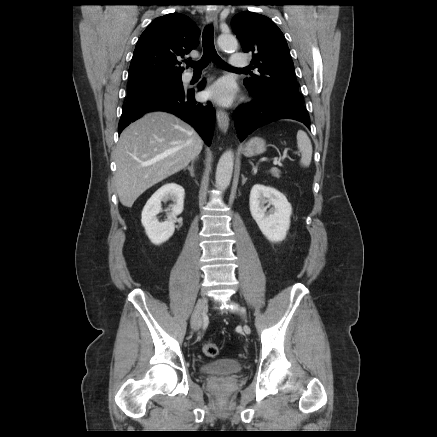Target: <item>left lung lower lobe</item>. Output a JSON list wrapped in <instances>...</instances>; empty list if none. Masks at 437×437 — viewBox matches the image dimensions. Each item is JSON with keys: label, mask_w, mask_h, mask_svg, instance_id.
<instances>
[{"label": "left lung lower lobe", "mask_w": 437, "mask_h": 437, "mask_svg": "<svg viewBox=\"0 0 437 437\" xmlns=\"http://www.w3.org/2000/svg\"><path fill=\"white\" fill-rule=\"evenodd\" d=\"M251 96V103L238 107L233 114L240 141L255 129L278 119H294L310 128L309 114L302 102L278 97Z\"/></svg>", "instance_id": "obj_1"}]
</instances>
